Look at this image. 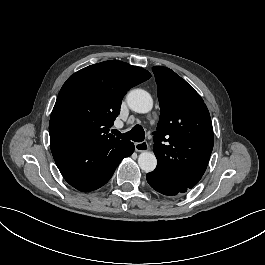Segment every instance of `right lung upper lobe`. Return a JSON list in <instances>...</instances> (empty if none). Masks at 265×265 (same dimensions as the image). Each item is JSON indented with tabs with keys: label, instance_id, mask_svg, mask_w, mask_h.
<instances>
[{
	"label": "right lung upper lobe",
	"instance_id": "cb5924a9",
	"mask_svg": "<svg viewBox=\"0 0 265 265\" xmlns=\"http://www.w3.org/2000/svg\"><path fill=\"white\" fill-rule=\"evenodd\" d=\"M151 74L118 60L85 67L62 86L50 117L51 139L99 143L117 140L108 134L123 96Z\"/></svg>",
	"mask_w": 265,
	"mask_h": 265
}]
</instances>
